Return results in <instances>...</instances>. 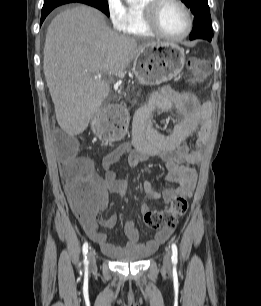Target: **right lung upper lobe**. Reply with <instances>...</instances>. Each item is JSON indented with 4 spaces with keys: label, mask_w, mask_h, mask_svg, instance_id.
<instances>
[{
    "label": "right lung upper lobe",
    "mask_w": 261,
    "mask_h": 306,
    "mask_svg": "<svg viewBox=\"0 0 261 306\" xmlns=\"http://www.w3.org/2000/svg\"><path fill=\"white\" fill-rule=\"evenodd\" d=\"M67 1H80V0H67Z\"/></svg>",
    "instance_id": "right-lung-upper-lobe-1"
}]
</instances>
